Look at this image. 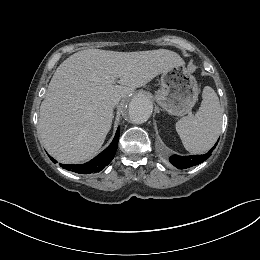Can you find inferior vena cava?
Listing matches in <instances>:
<instances>
[{"mask_svg":"<svg viewBox=\"0 0 260 260\" xmlns=\"http://www.w3.org/2000/svg\"><path fill=\"white\" fill-rule=\"evenodd\" d=\"M119 100L116 101V105L118 104Z\"/></svg>","mask_w":260,"mask_h":260,"instance_id":"1","label":"inferior vena cava"}]
</instances>
